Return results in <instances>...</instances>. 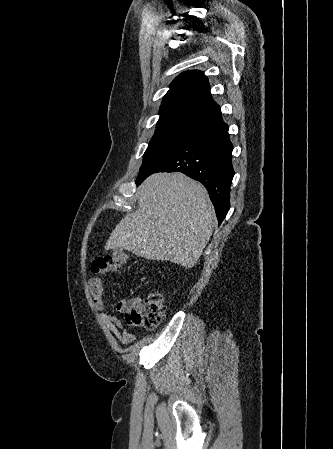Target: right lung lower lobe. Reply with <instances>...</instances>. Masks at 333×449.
Wrapping results in <instances>:
<instances>
[{"instance_id":"98d812e1","label":"right lung lower lobe","mask_w":333,"mask_h":449,"mask_svg":"<svg viewBox=\"0 0 333 449\" xmlns=\"http://www.w3.org/2000/svg\"><path fill=\"white\" fill-rule=\"evenodd\" d=\"M232 150L228 126L220 121L188 139L145 176L138 178L136 184L140 185L156 172H183L206 187L221 224L230 208V186L234 176Z\"/></svg>"}]
</instances>
